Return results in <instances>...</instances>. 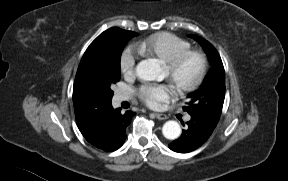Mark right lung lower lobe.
Wrapping results in <instances>:
<instances>
[{"mask_svg":"<svg viewBox=\"0 0 288 181\" xmlns=\"http://www.w3.org/2000/svg\"><path fill=\"white\" fill-rule=\"evenodd\" d=\"M134 114L132 111H126L123 114L121 113V109L112 108L108 122L109 135L104 145L99 148L107 152L119 149L125 142V130Z\"/></svg>","mask_w":288,"mask_h":181,"instance_id":"1","label":"right lung lower lobe"}]
</instances>
